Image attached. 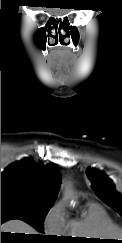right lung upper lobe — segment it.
Returning <instances> with one entry per match:
<instances>
[{"label":"right lung upper lobe","mask_w":122,"mask_h":243,"mask_svg":"<svg viewBox=\"0 0 122 243\" xmlns=\"http://www.w3.org/2000/svg\"><path fill=\"white\" fill-rule=\"evenodd\" d=\"M59 185V168L56 164L36 163L30 157L13 163L1 173V196L53 204Z\"/></svg>","instance_id":"right-lung-upper-lobe-1"}]
</instances>
